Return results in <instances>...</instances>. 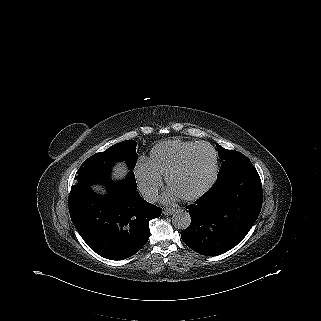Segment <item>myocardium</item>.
I'll use <instances>...</instances> for the list:
<instances>
[{"label":"myocardium","mask_w":321,"mask_h":321,"mask_svg":"<svg viewBox=\"0 0 321 321\" xmlns=\"http://www.w3.org/2000/svg\"><path fill=\"white\" fill-rule=\"evenodd\" d=\"M201 147L208 148L212 151L213 158H214L213 174H212V177L209 180V182L203 188H201L199 191H197L193 194H190V195L180 196L185 201H192V200H195V199L201 197L202 195L207 193L216 183L217 177H218V172H219V162H218V154H217L215 148L212 145L205 143V142L197 143L166 174V184L168 187H170L171 180H172L173 176L176 173H178L179 171H181L186 166L188 160L190 159V157L194 153V151L198 148H201Z\"/></svg>","instance_id":"1"}]
</instances>
